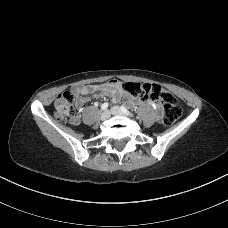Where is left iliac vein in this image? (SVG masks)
Returning <instances> with one entry per match:
<instances>
[{
  "instance_id": "left-iliac-vein-1",
  "label": "left iliac vein",
  "mask_w": 228,
  "mask_h": 228,
  "mask_svg": "<svg viewBox=\"0 0 228 228\" xmlns=\"http://www.w3.org/2000/svg\"><path fill=\"white\" fill-rule=\"evenodd\" d=\"M111 112H112L113 115H127L118 106L112 107L111 108Z\"/></svg>"
}]
</instances>
